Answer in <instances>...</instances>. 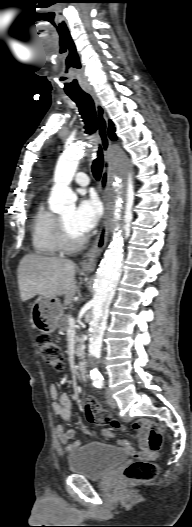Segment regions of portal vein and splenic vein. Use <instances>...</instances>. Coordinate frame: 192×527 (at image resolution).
<instances>
[{"label": "portal vein and splenic vein", "mask_w": 192, "mask_h": 527, "mask_svg": "<svg viewBox=\"0 0 192 527\" xmlns=\"http://www.w3.org/2000/svg\"><path fill=\"white\" fill-rule=\"evenodd\" d=\"M75 323H76L75 318L72 317V316H70V317H69V325H71V326H75Z\"/></svg>", "instance_id": "portal-vein-and-splenic-vein-1"}]
</instances>
